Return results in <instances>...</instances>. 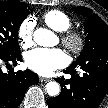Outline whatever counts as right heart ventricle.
<instances>
[{
    "instance_id": "e07e8e85",
    "label": "right heart ventricle",
    "mask_w": 108,
    "mask_h": 108,
    "mask_svg": "<svg viewBox=\"0 0 108 108\" xmlns=\"http://www.w3.org/2000/svg\"><path fill=\"white\" fill-rule=\"evenodd\" d=\"M43 21L48 25L51 29L57 32H65L67 31L71 25V18L60 10H50L43 15Z\"/></svg>"
}]
</instances>
